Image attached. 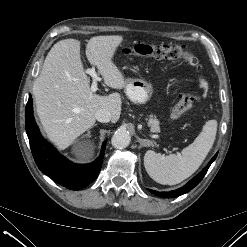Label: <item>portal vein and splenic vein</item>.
<instances>
[{
    "instance_id": "18ae733b",
    "label": "portal vein and splenic vein",
    "mask_w": 247,
    "mask_h": 247,
    "mask_svg": "<svg viewBox=\"0 0 247 247\" xmlns=\"http://www.w3.org/2000/svg\"><path fill=\"white\" fill-rule=\"evenodd\" d=\"M87 73L93 78L92 84H91V92L95 93L97 91V81H100L101 79L97 76V73L94 68L88 69Z\"/></svg>"
}]
</instances>
